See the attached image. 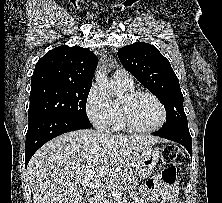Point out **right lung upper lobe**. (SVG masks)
I'll use <instances>...</instances> for the list:
<instances>
[{"label":"right lung upper lobe","mask_w":222,"mask_h":203,"mask_svg":"<svg viewBox=\"0 0 222 203\" xmlns=\"http://www.w3.org/2000/svg\"><path fill=\"white\" fill-rule=\"evenodd\" d=\"M98 58L89 49L67 45L50 50L37 62L31 90L52 86H92Z\"/></svg>","instance_id":"1"}]
</instances>
